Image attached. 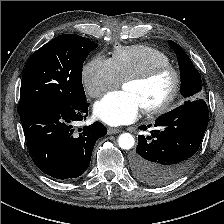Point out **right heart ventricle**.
I'll use <instances>...</instances> for the list:
<instances>
[{
    "mask_svg": "<svg viewBox=\"0 0 224 224\" xmlns=\"http://www.w3.org/2000/svg\"><path fill=\"white\" fill-rule=\"evenodd\" d=\"M111 60L121 80L142 73L154 65L170 63L167 54L146 45L116 46Z\"/></svg>",
    "mask_w": 224,
    "mask_h": 224,
    "instance_id": "right-heart-ventricle-1",
    "label": "right heart ventricle"
}]
</instances>
